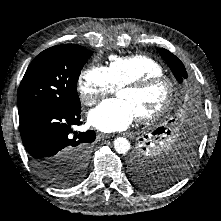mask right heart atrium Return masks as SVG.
Here are the masks:
<instances>
[{
  "label": "right heart atrium",
  "instance_id": "obj_1",
  "mask_svg": "<svg viewBox=\"0 0 221 221\" xmlns=\"http://www.w3.org/2000/svg\"><path fill=\"white\" fill-rule=\"evenodd\" d=\"M115 85L104 66L94 65L84 70L78 80V91L85 105H92L101 97L115 91Z\"/></svg>",
  "mask_w": 221,
  "mask_h": 221
}]
</instances>
